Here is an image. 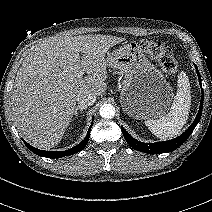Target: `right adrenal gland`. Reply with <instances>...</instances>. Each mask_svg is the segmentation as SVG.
Masks as SVG:
<instances>
[{
	"label": "right adrenal gland",
	"instance_id": "obj_1",
	"mask_svg": "<svg viewBox=\"0 0 212 212\" xmlns=\"http://www.w3.org/2000/svg\"><path fill=\"white\" fill-rule=\"evenodd\" d=\"M85 109H87V107H84V106H77L74 115H75V116L78 115V110H80V113L83 115Z\"/></svg>",
	"mask_w": 212,
	"mask_h": 212
}]
</instances>
